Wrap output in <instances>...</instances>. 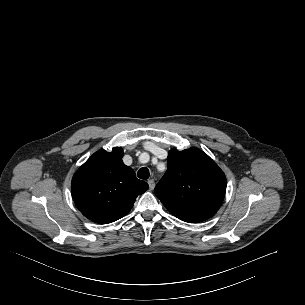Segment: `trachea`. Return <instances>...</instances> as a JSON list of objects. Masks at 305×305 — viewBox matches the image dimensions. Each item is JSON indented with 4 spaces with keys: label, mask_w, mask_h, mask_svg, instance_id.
<instances>
[{
    "label": "trachea",
    "mask_w": 305,
    "mask_h": 305,
    "mask_svg": "<svg viewBox=\"0 0 305 305\" xmlns=\"http://www.w3.org/2000/svg\"><path fill=\"white\" fill-rule=\"evenodd\" d=\"M149 170L146 167H142L141 169H139V171L137 172V176L140 179L146 180L149 178Z\"/></svg>",
    "instance_id": "1"
}]
</instances>
